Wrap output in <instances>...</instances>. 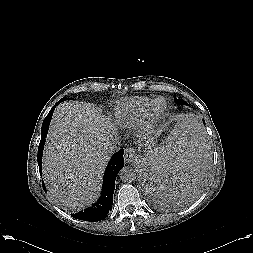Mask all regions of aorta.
I'll list each match as a JSON object with an SVG mask.
<instances>
[{"mask_svg": "<svg viewBox=\"0 0 253 253\" xmlns=\"http://www.w3.org/2000/svg\"><path fill=\"white\" fill-rule=\"evenodd\" d=\"M119 177L124 182H132L136 179V173L133 168L125 166L120 170Z\"/></svg>", "mask_w": 253, "mask_h": 253, "instance_id": "1", "label": "aorta"}]
</instances>
